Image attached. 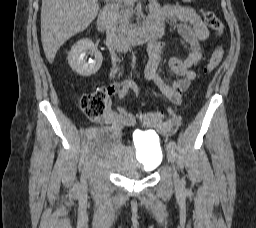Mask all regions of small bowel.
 I'll list each match as a JSON object with an SVG mask.
<instances>
[{"label": "small bowel", "instance_id": "obj_1", "mask_svg": "<svg viewBox=\"0 0 256 228\" xmlns=\"http://www.w3.org/2000/svg\"><path fill=\"white\" fill-rule=\"evenodd\" d=\"M165 20L175 24L178 33L189 45V53L185 58L172 57L167 65L161 64L164 44L158 40L161 36ZM159 31V36L154 37L147 45L148 62L145 67V78L154 84L158 91L172 103L179 105L183 93L190 87L196 78L193 67L196 66L204 55L202 43L209 37V29L201 17L190 7L160 4L153 2L150 15L147 20ZM169 72L178 78L171 83L167 82L162 74ZM129 91L141 93V88L133 80H125L122 83L114 82L108 85L106 94V108L104 113L94 119L100 124L109 125L113 130L131 127L135 124V118L121 107L113 108L111 97L116 95L120 100L124 99ZM176 126L175 121H166L156 125V130L161 134H169Z\"/></svg>", "mask_w": 256, "mask_h": 228}]
</instances>
